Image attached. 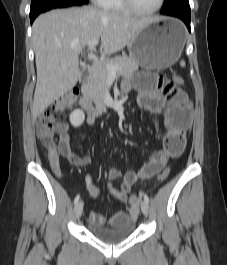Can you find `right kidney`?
I'll return each mask as SVG.
<instances>
[{
  "instance_id": "obj_1",
  "label": "right kidney",
  "mask_w": 227,
  "mask_h": 265,
  "mask_svg": "<svg viewBox=\"0 0 227 265\" xmlns=\"http://www.w3.org/2000/svg\"><path fill=\"white\" fill-rule=\"evenodd\" d=\"M85 120V114L82 110L76 109L70 114V123L74 127H79Z\"/></svg>"
}]
</instances>
